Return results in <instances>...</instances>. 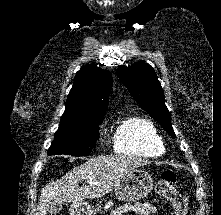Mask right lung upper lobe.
<instances>
[{
    "instance_id": "obj_1",
    "label": "right lung upper lobe",
    "mask_w": 221,
    "mask_h": 215,
    "mask_svg": "<svg viewBox=\"0 0 221 215\" xmlns=\"http://www.w3.org/2000/svg\"><path fill=\"white\" fill-rule=\"evenodd\" d=\"M112 76L95 65H87L76 73L67 97L64 114L103 117L109 102Z\"/></svg>"
}]
</instances>
